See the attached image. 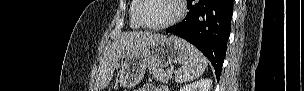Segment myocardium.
I'll use <instances>...</instances> for the list:
<instances>
[{"instance_id":"obj_1","label":"myocardium","mask_w":304,"mask_h":91,"mask_svg":"<svg viewBox=\"0 0 304 91\" xmlns=\"http://www.w3.org/2000/svg\"><path fill=\"white\" fill-rule=\"evenodd\" d=\"M138 1V7L136 10V17L138 22L147 29H153V30H159V29H165L168 27H171L175 24H177L184 16L186 11L185 1L184 0H174L177 6V12L170 20L160 23V24H148L144 21L142 17V11L145 6V0H137Z\"/></svg>"}]
</instances>
